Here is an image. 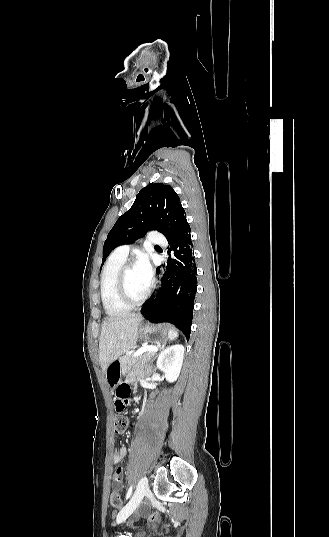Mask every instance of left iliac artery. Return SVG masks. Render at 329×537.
I'll use <instances>...</instances> for the list:
<instances>
[{
  "label": "left iliac artery",
  "instance_id": "44dca946",
  "mask_svg": "<svg viewBox=\"0 0 329 537\" xmlns=\"http://www.w3.org/2000/svg\"><path fill=\"white\" fill-rule=\"evenodd\" d=\"M132 490H133V485H131L127 491V494H126V500L131 496L132 494Z\"/></svg>",
  "mask_w": 329,
  "mask_h": 537
}]
</instances>
